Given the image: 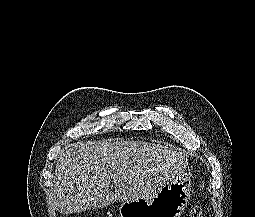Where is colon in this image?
Listing matches in <instances>:
<instances>
[{
    "instance_id": "colon-1",
    "label": "colon",
    "mask_w": 255,
    "mask_h": 217,
    "mask_svg": "<svg viewBox=\"0 0 255 217\" xmlns=\"http://www.w3.org/2000/svg\"><path fill=\"white\" fill-rule=\"evenodd\" d=\"M189 217H203L200 207H193L189 212Z\"/></svg>"
}]
</instances>
